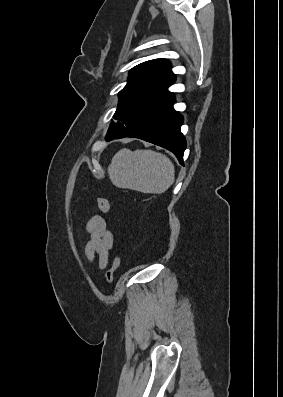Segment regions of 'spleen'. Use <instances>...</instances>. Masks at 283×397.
<instances>
[{
  "mask_svg": "<svg viewBox=\"0 0 283 397\" xmlns=\"http://www.w3.org/2000/svg\"><path fill=\"white\" fill-rule=\"evenodd\" d=\"M111 182L118 188L162 194L175 180V168L164 154L152 150L121 149L108 166Z\"/></svg>",
  "mask_w": 283,
  "mask_h": 397,
  "instance_id": "3e777b00",
  "label": "spleen"
}]
</instances>
